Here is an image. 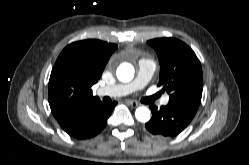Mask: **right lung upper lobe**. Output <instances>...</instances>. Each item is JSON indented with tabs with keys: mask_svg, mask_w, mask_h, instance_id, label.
Masks as SVG:
<instances>
[{
	"mask_svg": "<svg viewBox=\"0 0 249 165\" xmlns=\"http://www.w3.org/2000/svg\"><path fill=\"white\" fill-rule=\"evenodd\" d=\"M115 44L83 40L69 44L60 53L52 69L48 99L55 118L99 100L91 86L100 79Z\"/></svg>",
	"mask_w": 249,
	"mask_h": 165,
	"instance_id": "right-lung-upper-lobe-1",
	"label": "right lung upper lobe"
}]
</instances>
